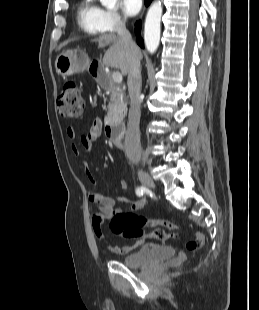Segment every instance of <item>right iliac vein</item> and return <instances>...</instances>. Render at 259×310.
Instances as JSON below:
<instances>
[{"mask_svg":"<svg viewBox=\"0 0 259 310\" xmlns=\"http://www.w3.org/2000/svg\"><path fill=\"white\" fill-rule=\"evenodd\" d=\"M138 178L141 181L143 185H145L148 188H155V183L152 180V178L147 174L144 170L138 169L137 171Z\"/></svg>","mask_w":259,"mask_h":310,"instance_id":"obj_1","label":"right iliac vein"}]
</instances>
